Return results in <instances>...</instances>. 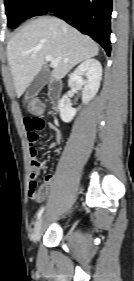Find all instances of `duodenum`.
<instances>
[{"instance_id":"410a0bca","label":"duodenum","mask_w":134,"mask_h":281,"mask_svg":"<svg viewBox=\"0 0 134 281\" xmlns=\"http://www.w3.org/2000/svg\"><path fill=\"white\" fill-rule=\"evenodd\" d=\"M61 92H62V84L60 82H52L48 89V99L50 103L57 107L60 99H61Z\"/></svg>"}]
</instances>
